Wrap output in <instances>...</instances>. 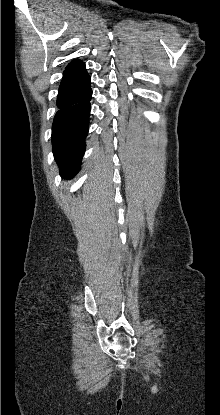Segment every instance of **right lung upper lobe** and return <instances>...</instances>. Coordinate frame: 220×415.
Wrapping results in <instances>:
<instances>
[{
  "label": "right lung upper lobe",
  "instance_id": "right-lung-upper-lobe-1",
  "mask_svg": "<svg viewBox=\"0 0 220 415\" xmlns=\"http://www.w3.org/2000/svg\"><path fill=\"white\" fill-rule=\"evenodd\" d=\"M79 60H74V61H72L68 66H70V65H72V64H74V63H76V62H78Z\"/></svg>",
  "mask_w": 220,
  "mask_h": 415
}]
</instances>
